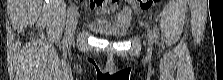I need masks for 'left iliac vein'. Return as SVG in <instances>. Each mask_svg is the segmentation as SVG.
Instances as JSON below:
<instances>
[{"instance_id":"obj_1","label":"left iliac vein","mask_w":223,"mask_h":80,"mask_svg":"<svg viewBox=\"0 0 223 80\" xmlns=\"http://www.w3.org/2000/svg\"><path fill=\"white\" fill-rule=\"evenodd\" d=\"M147 36H148V40L150 42V45H152L153 39H154V34L152 33V31L148 30Z\"/></svg>"}]
</instances>
